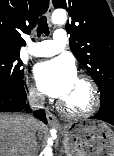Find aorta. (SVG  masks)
Wrapping results in <instances>:
<instances>
[{
	"mask_svg": "<svg viewBox=\"0 0 114 156\" xmlns=\"http://www.w3.org/2000/svg\"><path fill=\"white\" fill-rule=\"evenodd\" d=\"M67 20V14L66 11L63 9H57L52 14V21L55 24H63ZM51 135H55L56 131L53 129L50 131ZM53 143L52 139H48V144ZM44 156H53L52 154V148L50 146H46L43 151Z\"/></svg>",
	"mask_w": 114,
	"mask_h": 156,
	"instance_id": "762f6f07",
	"label": "aorta"
}]
</instances>
